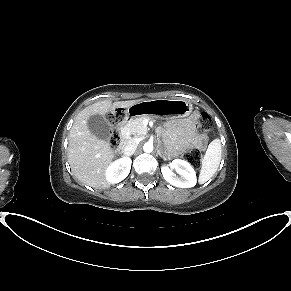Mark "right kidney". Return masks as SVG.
<instances>
[{
  "instance_id": "1",
  "label": "right kidney",
  "mask_w": 291,
  "mask_h": 291,
  "mask_svg": "<svg viewBox=\"0 0 291 291\" xmlns=\"http://www.w3.org/2000/svg\"><path fill=\"white\" fill-rule=\"evenodd\" d=\"M131 159L120 158L112 162L105 170V178L108 182L115 184L124 180L131 169Z\"/></svg>"
}]
</instances>
